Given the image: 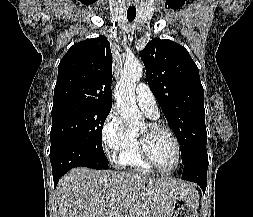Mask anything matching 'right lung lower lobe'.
I'll return each mask as SVG.
<instances>
[{
	"label": "right lung lower lobe",
	"instance_id": "98d812e1",
	"mask_svg": "<svg viewBox=\"0 0 253 217\" xmlns=\"http://www.w3.org/2000/svg\"><path fill=\"white\" fill-rule=\"evenodd\" d=\"M54 187L70 169L85 166L94 169H108L109 166L87 146L77 142L59 144L50 150Z\"/></svg>",
	"mask_w": 253,
	"mask_h": 217
}]
</instances>
